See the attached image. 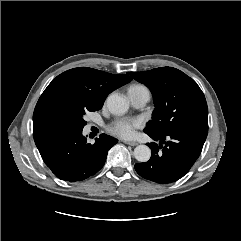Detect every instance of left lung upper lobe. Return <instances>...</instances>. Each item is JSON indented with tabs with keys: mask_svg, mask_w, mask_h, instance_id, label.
I'll use <instances>...</instances> for the list:
<instances>
[{
	"mask_svg": "<svg viewBox=\"0 0 241 241\" xmlns=\"http://www.w3.org/2000/svg\"><path fill=\"white\" fill-rule=\"evenodd\" d=\"M152 92L155 110L145 133L166 135L193 126H208L205 96L197 83L182 71L160 67L129 72Z\"/></svg>",
	"mask_w": 241,
	"mask_h": 241,
	"instance_id": "1",
	"label": "left lung upper lobe"
}]
</instances>
